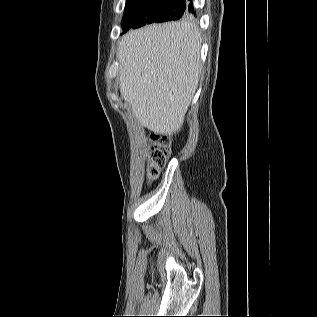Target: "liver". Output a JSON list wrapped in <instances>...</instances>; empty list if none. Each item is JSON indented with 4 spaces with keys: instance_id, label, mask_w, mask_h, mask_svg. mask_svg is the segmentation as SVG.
I'll use <instances>...</instances> for the list:
<instances>
[{
    "instance_id": "1",
    "label": "liver",
    "mask_w": 317,
    "mask_h": 317,
    "mask_svg": "<svg viewBox=\"0 0 317 317\" xmlns=\"http://www.w3.org/2000/svg\"><path fill=\"white\" fill-rule=\"evenodd\" d=\"M201 34L191 21L149 25L119 43L120 92L138 122L155 133L180 131L201 73Z\"/></svg>"
}]
</instances>
